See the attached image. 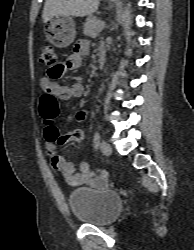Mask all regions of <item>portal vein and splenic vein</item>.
I'll return each instance as SVG.
<instances>
[{"label":"portal vein and splenic vein","mask_w":194,"mask_h":250,"mask_svg":"<svg viewBox=\"0 0 194 250\" xmlns=\"http://www.w3.org/2000/svg\"><path fill=\"white\" fill-rule=\"evenodd\" d=\"M101 25H102V26H105V22H102Z\"/></svg>","instance_id":"obj_1"}]
</instances>
